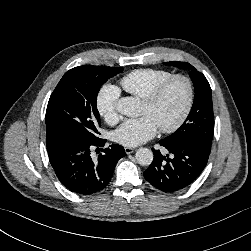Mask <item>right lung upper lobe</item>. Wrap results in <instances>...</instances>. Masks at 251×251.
<instances>
[{
    "mask_svg": "<svg viewBox=\"0 0 251 251\" xmlns=\"http://www.w3.org/2000/svg\"><path fill=\"white\" fill-rule=\"evenodd\" d=\"M53 144H54L53 141L48 142V143H47V149L50 148Z\"/></svg>",
    "mask_w": 251,
    "mask_h": 251,
    "instance_id": "cb5924a9",
    "label": "right lung upper lobe"
}]
</instances>
